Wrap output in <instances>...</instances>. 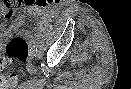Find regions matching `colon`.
Instances as JSON below:
<instances>
[{
  "instance_id": "obj_1",
  "label": "colon",
  "mask_w": 131,
  "mask_h": 89,
  "mask_svg": "<svg viewBox=\"0 0 131 89\" xmlns=\"http://www.w3.org/2000/svg\"><path fill=\"white\" fill-rule=\"evenodd\" d=\"M2 7L0 4V13ZM30 53V46L26 39L21 36H15L7 40L0 47V72L5 67L12 63L21 64L24 63ZM17 76L15 74H0V89L12 88L17 84Z\"/></svg>"
}]
</instances>
